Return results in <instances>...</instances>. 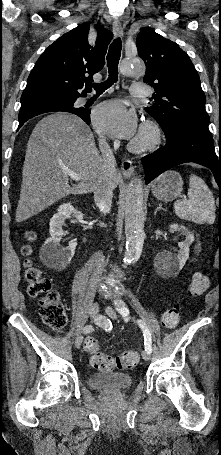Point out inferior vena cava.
<instances>
[{"label":"inferior vena cava","mask_w":221,"mask_h":455,"mask_svg":"<svg viewBox=\"0 0 221 455\" xmlns=\"http://www.w3.org/2000/svg\"><path fill=\"white\" fill-rule=\"evenodd\" d=\"M99 146L104 161L103 176H111L115 171L116 160L104 137L99 138ZM113 188L111 182L100 179L94 188V201L100 212L107 214L111 210Z\"/></svg>","instance_id":"obj_1"}]
</instances>
